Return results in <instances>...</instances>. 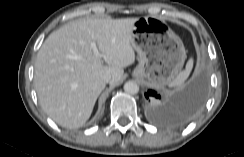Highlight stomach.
<instances>
[{"label": "stomach", "instance_id": "obj_1", "mask_svg": "<svg viewBox=\"0 0 244 157\" xmlns=\"http://www.w3.org/2000/svg\"><path fill=\"white\" fill-rule=\"evenodd\" d=\"M131 44L139 55L133 76L145 79L150 86L163 87L181 72L186 50L164 20L154 16L138 18L131 33Z\"/></svg>", "mask_w": 244, "mask_h": 157}]
</instances>
